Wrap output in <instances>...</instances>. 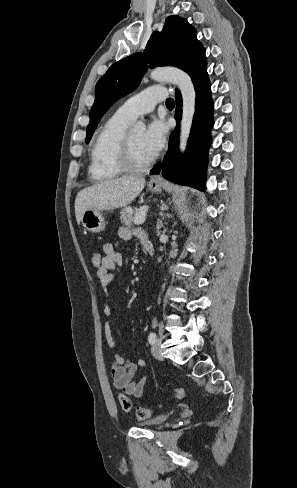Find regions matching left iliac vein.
Segmentation results:
<instances>
[{
	"instance_id": "left-iliac-vein-1",
	"label": "left iliac vein",
	"mask_w": 297,
	"mask_h": 488,
	"mask_svg": "<svg viewBox=\"0 0 297 488\" xmlns=\"http://www.w3.org/2000/svg\"><path fill=\"white\" fill-rule=\"evenodd\" d=\"M152 355L159 360H163L162 350H161V340L157 339L151 347Z\"/></svg>"
}]
</instances>
